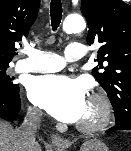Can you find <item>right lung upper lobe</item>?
Returning <instances> with one entry per match:
<instances>
[{"mask_svg": "<svg viewBox=\"0 0 131 151\" xmlns=\"http://www.w3.org/2000/svg\"><path fill=\"white\" fill-rule=\"evenodd\" d=\"M38 9L39 0H0V64L17 54L15 46L27 37Z\"/></svg>", "mask_w": 131, "mask_h": 151, "instance_id": "1", "label": "right lung upper lobe"}]
</instances>
